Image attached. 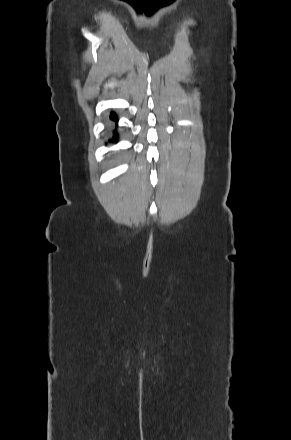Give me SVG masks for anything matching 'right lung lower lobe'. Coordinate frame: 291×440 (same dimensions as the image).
Returning <instances> with one entry per match:
<instances>
[{
	"label": "right lung lower lobe",
	"mask_w": 291,
	"mask_h": 440,
	"mask_svg": "<svg viewBox=\"0 0 291 440\" xmlns=\"http://www.w3.org/2000/svg\"><path fill=\"white\" fill-rule=\"evenodd\" d=\"M110 118H111L112 120H116V115H115L114 113H111ZM113 134H114V135H113V141H115L116 138H117V133L114 131Z\"/></svg>",
	"instance_id": "1"
}]
</instances>
